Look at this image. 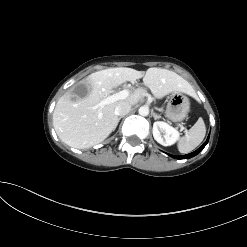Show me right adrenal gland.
<instances>
[{
    "label": "right adrenal gland",
    "instance_id": "1",
    "mask_svg": "<svg viewBox=\"0 0 247 247\" xmlns=\"http://www.w3.org/2000/svg\"><path fill=\"white\" fill-rule=\"evenodd\" d=\"M122 118H123V116H120V117L118 118V121H117V122H119Z\"/></svg>",
    "mask_w": 247,
    "mask_h": 247
}]
</instances>
